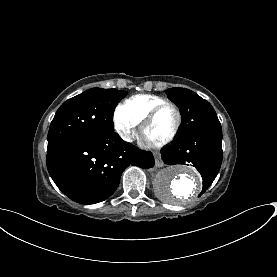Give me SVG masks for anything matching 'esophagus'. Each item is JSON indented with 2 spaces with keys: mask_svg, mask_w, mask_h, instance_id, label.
<instances>
[{
  "mask_svg": "<svg viewBox=\"0 0 277 277\" xmlns=\"http://www.w3.org/2000/svg\"><path fill=\"white\" fill-rule=\"evenodd\" d=\"M155 165H156V167H163L164 163L162 162V160L160 158H157L155 160Z\"/></svg>",
  "mask_w": 277,
  "mask_h": 277,
  "instance_id": "1",
  "label": "esophagus"
}]
</instances>
